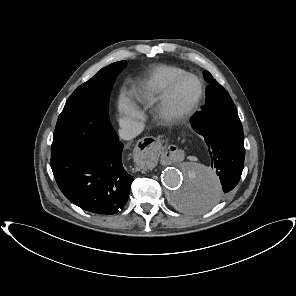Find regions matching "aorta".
Returning a JSON list of instances; mask_svg holds the SVG:
<instances>
[{"label": "aorta", "instance_id": "762f6f07", "mask_svg": "<svg viewBox=\"0 0 296 296\" xmlns=\"http://www.w3.org/2000/svg\"><path fill=\"white\" fill-rule=\"evenodd\" d=\"M161 180L170 206L181 213H205L216 207L221 197V183L207 166L186 163L167 168Z\"/></svg>", "mask_w": 296, "mask_h": 296}]
</instances>
